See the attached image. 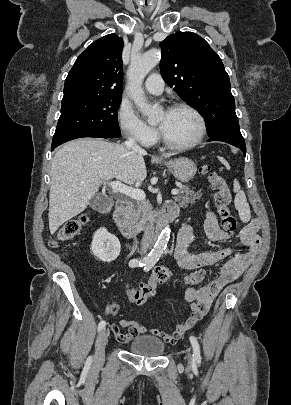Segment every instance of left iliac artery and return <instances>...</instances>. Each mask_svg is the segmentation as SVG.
<instances>
[{
  "instance_id": "obj_1",
  "label": "left iliac artery",
  "mask_w": 291,
  "mask_h": 405,
  "mask_svg": "<svg viewBox=\"0 0 291 405\" xmlns=\"http://www.w3.org/2000/svg\"><path fill=\"white\" fill-rule=\"evenodd\" d=\"M154 266V262H149L144 267V271H149ZM192 348H193V360L200 364L201 363V356H200V347L197 339L194 336L189 337Z\"/></svg>"
}]
</instances>
